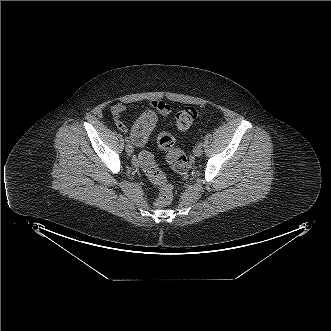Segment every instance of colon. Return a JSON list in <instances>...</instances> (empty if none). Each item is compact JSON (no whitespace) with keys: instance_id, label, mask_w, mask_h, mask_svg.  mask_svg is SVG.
I'll return each instance as SVG.
<instances>
[{"instance_id":"1","label":"colon","mask_w":331,"mask_h":331,"mask_svg":"<svg viewBox=\"0 0 331 331\" xmlns=\"http://www.w3.org/2000/svg\"><path fill=\"white\" fill-rule=\"evenodd\" d=\"M200 116V110L186 106L180 109L176 115V124L179 129L189 128ZM157 122V114L150 109H145L133 125L131 139L136 145H143L148 140L151 130ZM158 147L166 153L170 167L182 172L188 167L186 155L178 148L175 138L168 132H162L157 138ZM145 175L155 184L159 193L155 204L159 207L171 203L173 193L171 186L167 183L164 174L158 168L150 154H143L140 159Z\"/></svg>"}]
</instances>
